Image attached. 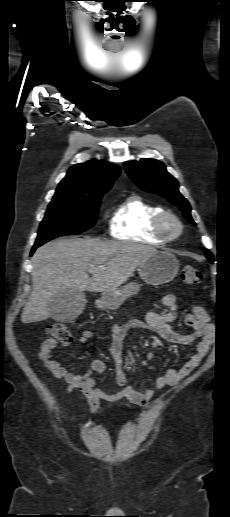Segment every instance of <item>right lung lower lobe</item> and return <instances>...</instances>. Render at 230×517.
I'll list each match as a JSON object with an SVG mask.
<instances>
[{"mask_svg":"<svg viewBox=\"0 0 230 517\" xmlns=\"http://www.w3.org/2000/svg\"><path fill=\"white\" fill-rule=\"evenodd\" d=\"M37 247H39V246H38V245H34V247H33L32 251H31V255L34 253V251H35V249H36Z\"/></svg>","mask_w":230,"mask_h":517,"instance_id":"obj_1","label":"right lung lower lobe"}]
</instances>
